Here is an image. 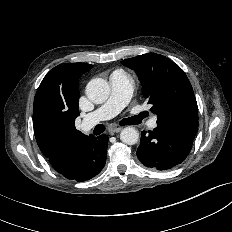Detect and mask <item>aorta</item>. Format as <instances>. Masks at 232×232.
<instances>
[{
  "label": "aorta",
  "instance_id": "762f6f07",
  "mask_svg": "<svg viewBox=\"0 0 232 232\" xmlns=\"http://www.w3.org/2000/svg\"><path fill=\"white\" fill-rule=\"evenodd\" d=\"M86 95L95 104L104 103L110 95V86L103 78H94L86 86ZM120 139L127 145H134L139 140V132L133 127H126L120 133Z\"/></svg>",
  "mask_w": 232,
  "mask_h": 232
}]
</instances>
